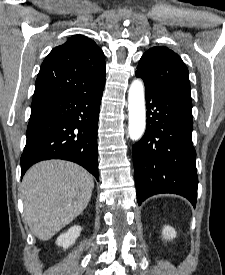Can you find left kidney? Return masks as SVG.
I'll list each match as a JSON object with an SVG mask.
<instances>
[{"mask_svg":"<svg viewBox=\"0 0 225 275\" xmlns=\"http://www.w3.org/2000/svg\"><path fill=\"white\" fill-rule=\"evenodd\" d=\"M176 231L171 226H164L162 230V236L166 240H171L176 237Z\"/></svg>","mask_w":225,"mask_h":275,"instance_id":"left-kidney-1","label":"left kidney"}]
</instances>
